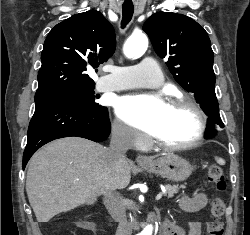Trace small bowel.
I'll return each instance as SVG.
<instances>
[{
	"label": "small bowel",
	"instance_id": "c3829d8e",
	"mask_svg": "<svg viewBox=\"0 0 250 235\" xmlns=\"http://www.w3.org/2000/svg\"><path fill=\"white\" fill-rule=\"evenodd\" d=\"M208 197L205 193H197L193 196H185L181 201V207L187 212H197L206 207ZM163 235H201V225L199 222H190L189 228L185 231L183 228L175 225L170 220H165L162 226Z\"/></svg>",
	"mask_w": 250,
	"mask_h": 235
}]
</instances>
